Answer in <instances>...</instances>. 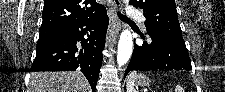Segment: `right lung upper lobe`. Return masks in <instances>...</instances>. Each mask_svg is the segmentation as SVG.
Returning <instances> with one entry per match:
<instances>
[{
  "instance_id": "obj_1",
  "label": "right lung upper lobe",
  "mask_w": 225,
  "mask_h": 92,
  "mask_svg": "<svg viewBox=\"0 0 225 92\" xmlns=\"http://www.w3.org/2000/svg\"><path fill=\"white\" fill-rule=\"evenodd\" d=\"M103 9L104 6L96 0H44L40 29H66L96 17Z\"/></svg>"
}]
</instances>
